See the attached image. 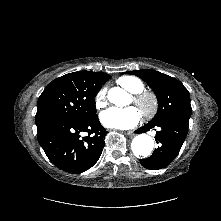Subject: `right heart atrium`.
Returning <instances> with one entry per match:
<instances>
[{"instance_id":"obj_1","label":"right heart atrium","mask_w":221,"mask_h":221,"mask_svg":"<svg viewBox=\"0 0 221 221\" xmlns=\"http://www.w3.org/2000/svg\"><path fill=\"white\" fill-rule=\"evenodd\" d=\"M106 104H107L106 89L101 88L95 96L94 105L97 110H101L106 106Z\"/></svg>"}]
</instances>
